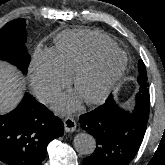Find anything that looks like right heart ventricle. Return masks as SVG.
Returning <instances> with one entry per match:
<instances>
[{"instance_id":"right-heart-ventricle-1","label":"right heart ventricle","mask_w":165,"mask_h":165,"mask_svg":"<svg viewBox=\"0 0 165 165\" xmlns=\"http://www.w3.org/2000/svg\"><path fill=\"white\" fill-rule=\"evenodd\" d=\"M113 47L115 42L98 30L76 29L59 34L52 53L60 67L71 74L96 50Z\"/></svg>"}]
</instances>
